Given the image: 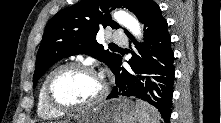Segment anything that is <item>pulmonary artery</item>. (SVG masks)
<instances>
[{"label":"pulmonary artery","instance_id":"e3ab8cb5","mask_svg":"<svg viewBox=\"0 0 221 123\" xmlns=\"http://www.w3.org/2000/svg\"><path fill=\"white\" fill-rule=\"evenodd\" d=\"M111 40L116 43H125L127 37L122 31L117 30L111 34Z\"/></svg>","mask_w":221,"mask_h":123}]
</instances>
